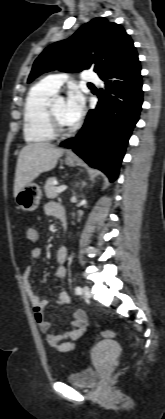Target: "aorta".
Listing matches in <instances>:
<instances>
[{
  "label": "aorta",
  "mask_w": 165,
  "mask_h": 419,
  "mask_svg": "<svg viewBox=\"0 0 165 419\" xmlns=\"http://www.w3.org/2000/svg\"><path fill=\"white\" fill-rule=\"evenodd\" d=\"M58 101H59V102H62V101H63V98H58Z\"/></svg>",
  "instance_id": "1"
}]
</instances>
